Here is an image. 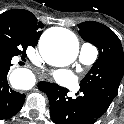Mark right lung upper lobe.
Segmentation results:
<instances>
[{
    "label": "right lung upper lobe",
    "instance_id": "obj_1",
    "mask_svg": "<svg viewBox=\"0 0 124 124\" xmlns=\"http://www.w3.org/2000/svg\"><path fill=\"white\" fill-rule=\"evenodd\" d=\"M14 25H16L27 36L33 47L37 45L39 37L42 33L40 30L44 27L42 22L38 21L35 16L24 9H12L0 15Z\"/></svg>",
    "mask_w": 124,
    "mask_h": 124
}]
</instances>
